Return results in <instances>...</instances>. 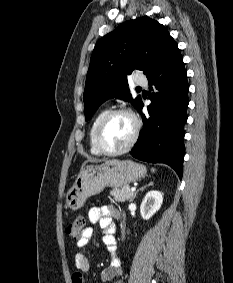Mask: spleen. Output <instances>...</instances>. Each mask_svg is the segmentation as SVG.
I'll return each instance as SVG.
<instances>
[{"mask_svg": "<svg viewBox=\"0 0 233 283\" xmlns=\"http://www.w3.org/2000/svg\"><path fill=\"white\" fill-rule=\"evenodd\" d=\"M152 172H155V169H154V168H152Z\"/></svg>", "mask_w": 233, "mask_h": 283, "instance_id": "spleen-1", "label": "spleen"}]
</instances>
